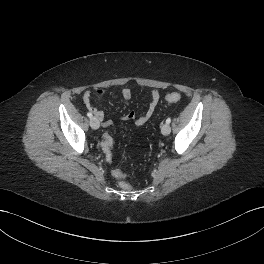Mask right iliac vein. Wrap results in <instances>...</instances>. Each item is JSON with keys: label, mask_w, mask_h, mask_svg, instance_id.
<instances>
[{"label": "right iliac vein", "mask_w": 264, "mask_h": 264, "mask_svg": "<svg viewBox=\"0 0 264 264\" xmlns=\"http://www.w3.org/2000/svg\"><path fill=\"white\" fill-rule=\"evenodd\" d=\"M90 126L93 128V129H98L99 126H100V123L98 121V119L96 117H92L90 119Z\"/></svg>", "instance_id": "63e3f726"}]
</instances>
